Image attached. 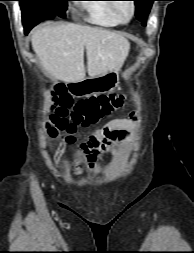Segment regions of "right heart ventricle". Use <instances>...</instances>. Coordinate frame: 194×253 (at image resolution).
<instances>
[{
	"instance_id": "right-heart-ventricle-1",
	"label": "right heart ventricle",
	"mask_w": 194,
	"mask_h": 253,
	"mask_svg": "<svg viewBox=\"0 0 194 253\" xmlns=\"http://www.w3.org/2000/svg\"><path fill=\"white\" fill-rule=\"evenodd\" d=\"M87 13L88 20L94 24L113 27L121 22L115 16L109 0H87L80 4Z\"/></svg>"
}]
</instances>
